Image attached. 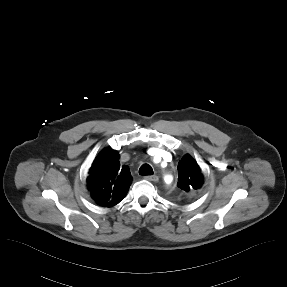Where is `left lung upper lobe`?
Instances as JSON below:
<instances>
[{
	"label": "left lung upper lobe",
	"instance_id": "obj_1",
	"mask_svg": "<svg viewBox=\"0 0 287 287\" xmlns=\"http://www.w3.org/2000/svg\"><path fill=\"white\" fill-rule=\"evenodd\" d=\"M177 186L183 192L197 190L203 183V175L197 162L188 154L184 155L178 164Z\"/></svg>",
	"mask_w": 287,
	"mask_h": 287
}]
</instances>
